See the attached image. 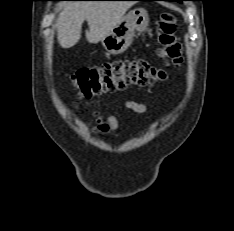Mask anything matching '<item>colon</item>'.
<instances>
[{
    "instance_id": "colon-1",
    "label": "colon",
    "mask_w": 234,
    "mask_h": 231,
    "mask_svg": "<svg viewBox=\"0 0 234 231\" xmlns=\"http://www.w3.org/2000/svg\"><path fill=\"white\" fill-rule=\"evenodd\" d=\"M175 30L174 16L171 13L162 14L157 23L155 42L168 63L178 67L182 63V53ZM165 78L164 70L141 60H119L80 69L71 77L84 99L120 91L131 85L147 87Z\"/></svg>"
}]
</instances>
